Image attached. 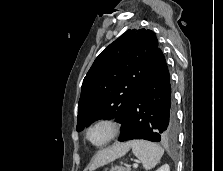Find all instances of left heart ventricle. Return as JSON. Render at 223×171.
I'll return each mask as SVG.
<instances>
[{
  "label": "left heart ventricle",
  "instance_id": "b2bd125f",
  "mask_svg": "<svg viewBox=\"0 0 223 171\" xmlns=\"http://www.w3.org/2000/svg\"><path fill=\"white\" fill-rule=\"evenodd\" d=\"M109 130L105 126H99L92 130L90 137L95 143H100L107 138Z\"/></svg>",
  "mask_w": 223,
  "mask_h": 171
}]
</instances>
